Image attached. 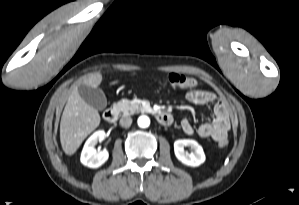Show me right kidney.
Masks as SVG:
<instances>
[{"instance_id": "ca27d5eb", "label": "right kidney", "mask_w": 299, "mask_h": 205, "mask_svg": "<svg viewBox=\"0 0 299 205\" xmlns=\"http://www.w3.org/2000/svg\"><path fill=\"white\" fill-rule=\"evenodd\" d=\"M105 137V132L98 130L88 138L80 157V161L83 165L90 168H98L108 160L109 153L106 149L97 151L95 148L96 144L103 141Z\"/></svg>"}]
</instances>
